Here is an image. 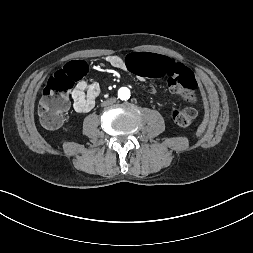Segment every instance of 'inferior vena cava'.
Here are the masks:
<instances>
[{"mask_svg":"<svg viewBox=\"0 0 253 253\" xmlns=\"http://www.w3.org/2000/svg\"><path fill=\"white\" fill-rule=\"evenodd\" d=\"M115 102H116L115 98H110V99H107V100H103L101 103L103 105H110V104H114Z\"/></svg>","mask_w":253,"mask_h":253,"instance_id":"1","label":"inferior vena cava"}]
</instances>
